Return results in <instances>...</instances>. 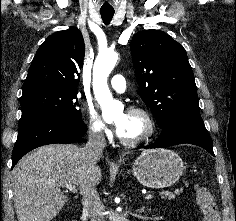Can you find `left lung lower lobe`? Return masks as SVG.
<instances>
[{"instance_id":"obj_1","label":"left lung lower lobe","mask_w":236,"mask_h":221,"mask_svg":"<svg viewBox=\"0 0 236 221\" xmlns=\"http://www.w3.org/2000/svg\"><path fill=\"white\" fill-rule=\"evenodd\" d=\"M162 133L158 140L144 148H161L183 143L194 144L214 155L213 144L201 115H179L170 119L161 128Z\"/></svg>"}]
</instances>
